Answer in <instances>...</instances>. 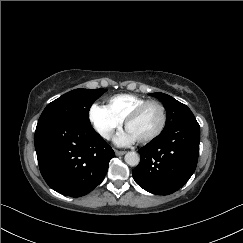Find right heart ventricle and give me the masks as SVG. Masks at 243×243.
Here are the masks:
<instances>
[{
  "instance_id": "e07e8e85",
  "label": "right heart ventricle",
  "mask_w": 243,
  "mask_h": 243,
  "mask_svg": "<svg viewBox=\"0 0 243 243\" xmlns=\"http://www.w3.org/2000/svg\"><path fill=\"white\" fill-rule=\"evenodd\" d=\"M144 97L133 94H118L108 100V109L122 121L138 106L147 102Z\"/></svg>"
}]
</instances>
